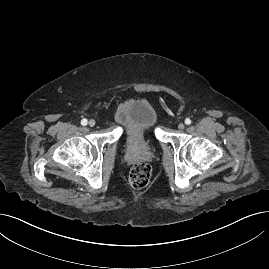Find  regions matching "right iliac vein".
Wrapping results in <instances>:
<instances>
[{
    "label": "right iliac vein",
    "mask_w": 269,
    "mask_h": 269,
    "mask_svg": "<svg viewBox=\"0 0 269 269\" xmlns=\"http://www.w3.org/2000/svg\"><path fill=\"white\" fill-rule=\"evenodd\" d=\"M88 124L90 127H93V126H95L96 122L94 119H91Z\"/></svg>",
    "instance_id": "1"
}]
</instances>
